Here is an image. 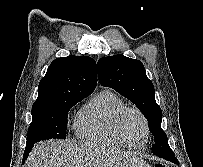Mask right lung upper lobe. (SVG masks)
Returning <instances> with one entry per match:
<instances>
[{
	"label": "right lung upper lobe",
	"mask_w": 203,
	"mask_h": 167,
	"mask_svg": "<svg viewBox=\"0 0 203 167\" xmlns=\"http://www.w3.org/2000/svg\"><path fill=\"white\" fill-rule=\"evenodd\" d=\"M97 84L96 62L70 55L55 59L38 87L33 107L48 106L68 98L87 97Z\"/></svg>",
	"instance_id": "right-lung-upper-lobe-1"
}]
</instances>
